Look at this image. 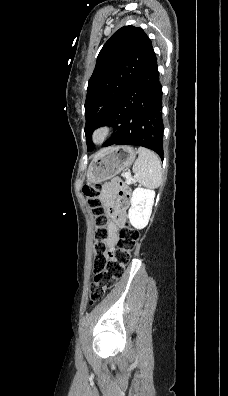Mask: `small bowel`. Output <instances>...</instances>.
<instances>
[{
    "mask_svg": "<svg viewBox=\"0 0 228 396\" xmlns=\"http://www.w3.org/2000/svg\"><path fill=\"white\" fill-rule=\"evenodd\" d=\"M101 198L104 206L111 215V220L108 222V229L111 235L110 242L113 243L116 238V233L123 222L124 205L120 200L116 201V195L109 186L104 187Z\"/></svg>",
    "mask_w": 228,
    "mask_h": 396,
    "instance_id": "obj_1",
    "label": "small bowel"
}]
</instances>
